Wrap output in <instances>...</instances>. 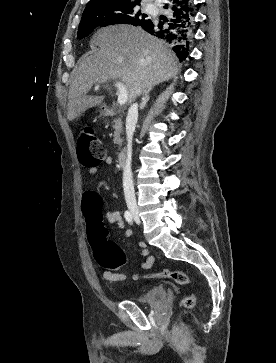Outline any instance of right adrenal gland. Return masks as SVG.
Segmentation results:
<instances>
[{"mask_svg": "<svg viewBox=\"0 0 276 363\" xmlns=\"http://www.w3.org/2000/svg\"><path fill=\"white\" fill-rule=\"evenodd\" d=\"M151 89H148L147 91H144L143 94V98H142V103L140 105V110H143L146 107L147 102L149 101V93H150Z\"/></svg>", "mask_w": 276, "mask_h": 363, "instance_id": "1", "label": "right adrenal gland"}]
</instances>
